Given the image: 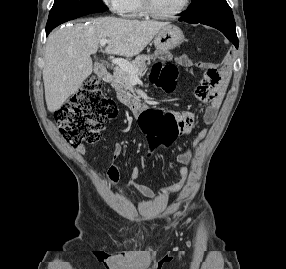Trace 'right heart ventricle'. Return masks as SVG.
I'll return each mask as SVG.
<instances>
[{
	"label": "right heart ventricle",
	"mask_w": 286,
	"mask_h": 269,
	"mask_svg": "<svg viewBox=\"0 0 286 269\" xmlns=\"http://www.w3.org/2000/svg\"><path fill=\"white\" fill-rule=\"evenodd\" d=\"M122 13L129 18H141L145 15L140 0H125Z\"/></svg>",
	"instance_id": "obj_1"
}]
</instances>
